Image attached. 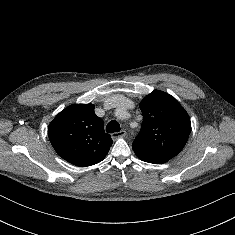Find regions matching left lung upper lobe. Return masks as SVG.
<instances>
[{"instance_id": "1", "label": "left lung upper lobe", "mask_w": 235, "mask_h": 235, "mask_svg": "<svg viewBox=\"0 0 235 235\" xmlns=\"http://www.w3.org/2000/svg\"><path fill=\"white\" fill-rule=\"evenodd\" d=\"M141 130L132 147L137 156L170 160L184 148L191 132L190 118L171 95L154 90L140 103Z\"/></svg>"}]
</instances>
